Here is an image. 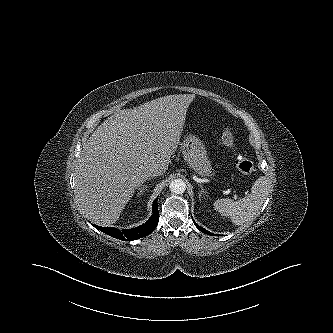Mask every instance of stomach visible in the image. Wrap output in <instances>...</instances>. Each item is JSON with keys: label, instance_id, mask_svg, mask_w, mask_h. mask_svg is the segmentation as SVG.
I'll return each instance as SVG.
<instances>
[{"label": "stomach", "instance_id": "0dacf381", "mask_svg": "<svg viewBox=\"0 0 333 333\" xmlns=\"http://www.w3.org/2000/svg\"><path fill=\"white\" fill-rule=\"evenodd\" d=\"M182 152L189 167L199 176L209 177L212 167L203 141L195 134L187 133L182 142Z\"/></svg>", "mask_w": 333, "mask_h": 333}]
</instances>
